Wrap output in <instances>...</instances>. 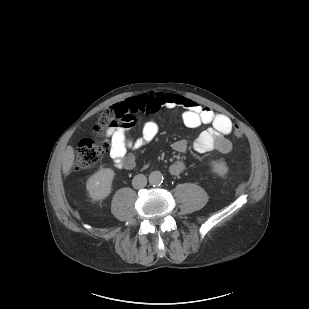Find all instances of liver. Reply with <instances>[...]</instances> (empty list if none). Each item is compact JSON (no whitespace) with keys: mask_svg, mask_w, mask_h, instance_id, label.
Here are the masks:
<instances>
[{"mask_svg":"<svg viewBox=\"0 0 309 309\" xmlns=\"http://www.w3.org/2000/svg\"><path fill=\"white\" fill-rule=\"evenodd\" d=\"M75 151L73 147L68 146L62 158V171L64 175H68L74 165Z\"/></svg>","mask_w":309,"mask_h":309,"instance_id":"6515ba94","label":"liver"}]
</instances>
